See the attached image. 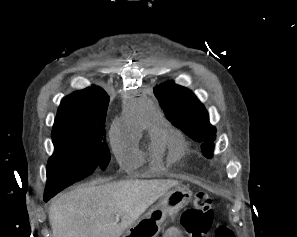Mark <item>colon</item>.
I'll use <instances>...</instances> for the list:
<instances>
[{
  "mask_svg": "<svg viewBox=\"0 0 297 237\" xmlns=\"http://www.w3.org/2000/svg\"><path fill=\"white\" fill-rule=\"evenodd\" d=\"M214 223L212 199L208 193L197 191L194 195L193 206L186 209L180 223L161 237H207ZM216 237H235L231 229L220 225L216 229Z\"/></svg>",
  "mask_w": 297,
  "mask_h": 237,
  "instance_id": "1",
  "label": "colon"
}]
</instances>
